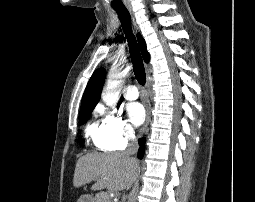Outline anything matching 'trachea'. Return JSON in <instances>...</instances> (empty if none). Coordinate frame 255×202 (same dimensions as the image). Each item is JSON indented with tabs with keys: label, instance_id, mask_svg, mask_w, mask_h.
<instances>
[{
	"label": "trachea",
	"instance_id": "3493384b",
	"mask_svg": "<svg viewBox=\"0 0 255 202\" xmlns=\"http://www.w3.org/2000/svg\"><path fill=\"white\" fill-rule=\"evenodd\" d=\"M114 10L118 14L123 31L128 41L129 53L133 64L135 78L137 79L140 85H144L146 83V73L137 41L132 33V28L130 24V14L126 8Z\"/></svg>",
	"mask_w": 255,
	"mask_h": 202
}]
</instances>
